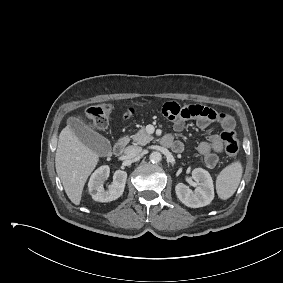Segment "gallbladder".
I'll return each instance as SVG.
<instances>
[{
    "instance_id": "1",
    "label": "gallbladder",
    "mask_w": 283,
    "mask_h": 283,
    "mask_svg": "<svg viewBox=\"0 0 283 283\" xmlns=\"http://www.w3.org/2000/svg\"><path fill=\"white\" fill-rule=\"evenodd\" d=\"M69 124L70 128L85 146L89 147L100 156H108L111 154V144L105 137L92 130L81 121L70 119Z\"/></svg>"
}]
</instances>
